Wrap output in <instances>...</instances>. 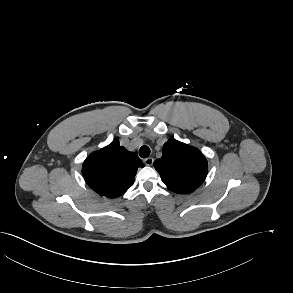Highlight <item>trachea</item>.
<instances>
[{"instance_id": "obj_1", "label": "trachea", "mask_w": 293, "mask_h": 293, "mask_svg": "<svg viewBox=\"0 0 293 293\" xmlns=\"http://www.w3.org/2000/svg\"><path fill=\"white\" fill-rule=\"evenodd\" d=\"M150 154V148L148 146H142L140 149H139V155L140 157L142 158H147Z\"/></svg>"}]
</instances>
